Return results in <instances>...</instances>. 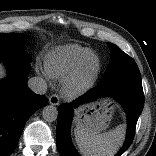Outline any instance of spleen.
<instances>
[{
  "instance_id": "spleen-1",
  "label": "spleen",
  "mask_w": 156,
  "mask_h": 156,
  "mask_svg": "<svg viewBox=\"0 0 156 156\" xmlns=\"http://www.w3.org/2000/svg\"><path fill=\"white\" fill-rule=\"evenodd\" d=\"M92 125L78 124L74 130L76 144L83 156H114L124 139V128L119 126L99 134Z\"/></svg>"
}]
</instances>
